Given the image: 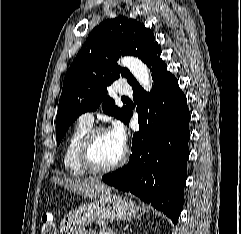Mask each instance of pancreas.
Masks as SVG:
<instances>
[{"label":"pancreas","instance_id":"cf45deb5","mask_svg":"<svg viewBox=\"0 0 241 234\" xmlns=\"http://www.w3.org/2000/svg\"><path fill=\"white\" fill-rule=\"evenodd\" d=\"M105 231H106V228H103L98 234H104ZM88 234H96V233L93 231H90Z\"/></svg>","mask_w":241,"mask_h":234}]
</instances>
